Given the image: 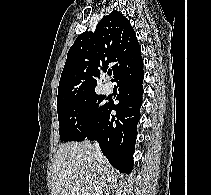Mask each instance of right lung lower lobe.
Segmentation results:
<instances>
[{
	"label": "right lung lower lobe",
	"mask_w": 211,
	"mask_h": 195,
	"mask_svg": "<svg viewBox=\"0 0 211 195\" xmlns=\"http://www.w3.org/2000/svg\"><path fill=\"white\" fill-rule=\"evenodd\" d=\"M143 63L122 74L116 81L119 87L114 105L106 103L98 120L90 128L83 140H98L100 148L110 164L122 173H131L133 154L140 118L143 94ZM116 114L112 115L111 111Z\"/></svg>",
	"instance_id": "right-lung-lower-lobe-1"
}]
</instances>
